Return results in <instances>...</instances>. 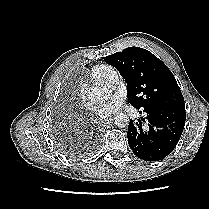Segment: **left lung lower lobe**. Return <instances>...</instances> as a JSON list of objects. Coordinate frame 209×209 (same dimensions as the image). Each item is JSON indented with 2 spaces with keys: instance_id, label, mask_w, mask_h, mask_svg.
<instances>
[{
  "instance_id": "obj_1",
  "label": "left lung lower lobe",
  "mask_w": 209,
  "mask_h": 209,
  "mask_svg": "<svg viewBox=\"0 0 209 209\" xmlns=\"http://www.w3.org/2000/svg\"><path fill=\"white\" fill-rule=\"evenodd\" d=\"M147 114L138 123L129 122L128 143L133 153L145 161H158L176 147L185 125L186 113L168 107L143 110Z\"/></svg>"
}]
</instances>
